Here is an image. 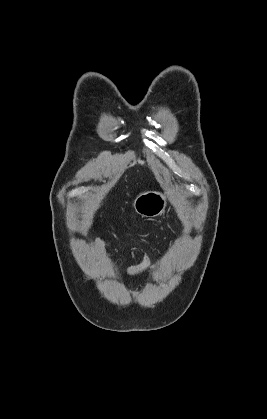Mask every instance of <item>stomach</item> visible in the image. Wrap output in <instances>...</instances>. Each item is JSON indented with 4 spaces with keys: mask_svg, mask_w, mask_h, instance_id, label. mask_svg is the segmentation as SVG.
Here are the masks:
<instances>
[{
    "mask_svg": "<svg viewBox=\"0 0 267 419\" xmlns=\"http://www.w3.org/2000/svg\"><path fill=\"white\" fill-rule=\"evenodd\" d=\"M166 196L160 192L148 191L140 194L134 200L135 212L143 217L154 218L161 215L166 208Z\"/></svg>",
    "mask_w": 267,
    "mask_h": 419,
    "instance_id": "0dacf381",
    "label": "stomach"
}]
</instances>
